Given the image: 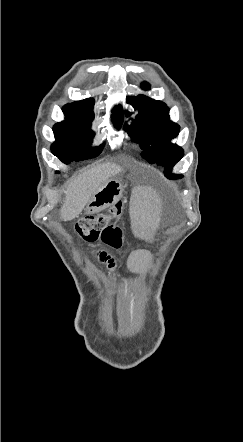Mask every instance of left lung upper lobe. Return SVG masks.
<instances>
[{
    "instance_id": "obj_1",
    "label": "left lung upper lobe",
    "mask_w": 243,
    "mask_h": 442,
    "mask_svg": "<svg viewBox=\"0 0 243 442\" xmlns=\"http://www.w3.org/2000/svg\"><path fill=\"white\" fill-rule=\"evenodd\" d=\"M142 88L147 90L150 86L144 82ZM126 101L138 110V115L132 125L125 124L124 129L135 142H140L144 150L142 157L164 166L168 175L184 154L182 148L171 142L179 134V125L169 120V108L161 101L145 95L131 96ZM130 114L125 111L126 116Z\"/></svg>"
}]
</instances>
